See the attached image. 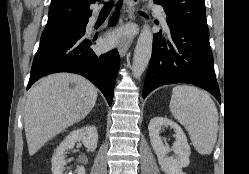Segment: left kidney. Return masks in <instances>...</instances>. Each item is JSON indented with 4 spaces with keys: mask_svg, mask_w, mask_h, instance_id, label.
<instances>
[{
    "mask_svg": "<svg viewBox=\"0 0 249 174\" xmlns=\"http://www.w3.org/2000/svg\"><path fill=\"white\" fill-rule=\"evenodd\" d=\"M164 126H169L175 132L176 140L171 148L163 144L160 136V131ZM148 130L150 143L158 157L161 169L166 174H185L182 168L189 165L191 149L182 128L166 117H154L149 123ZM170 151L175 153V158L167 156Z\"/></svg>",
    "mask_w": 249,
    "mask_h": 174,
    "instance_id": "1",
    "label": "left kidney"
}]
</instances>
